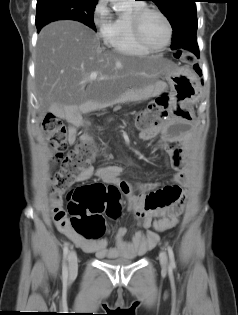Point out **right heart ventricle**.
Listing matches in <instances>:
<instances>
[{"mask_svg":"<svg viewBox=\"0 0 238 315\" xmlns=\"http://www.w3.org/2000/svg\"><path fill=\"white\" fill-rule=\"evenodd\" d=\"M128 10L119 12L105 28L102 34L107 47L116 53L123 55L142 56L150 53L135 40L131 20L135 11L144 7V4L130 0Z\"/></svg>","mask_w":238,"mask_h":315,"instance_id":"1","label":"right heart ventricle"}]
</instances>
